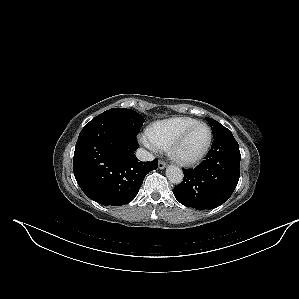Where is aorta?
I'll list each match as a JSON object with an SVG mask.
<instances>
[{"label": "aorta", "mask_w": 299, "mask_h": 299, "mask_svg": "<svg viewBox=\"0 0 299 299\" xmlns=\"http://www.w3.org/2000/svg\"><path fill=\"white\" fill-rule=\"evenodd\" d=\"M166 176L173 184H180L183 181V171L175 165H170L166 169Z\"/></svg>", "instance_id": "762f6f07"}]
</instances>
